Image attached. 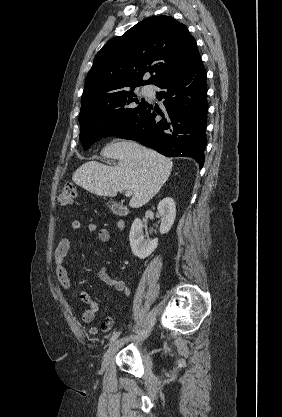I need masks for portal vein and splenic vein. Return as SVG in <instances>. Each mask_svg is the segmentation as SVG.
<instances>
[{"label": "portal vein and splenic vein", "instance_id": "portal-vein-and-splenic-vein-1", "mask_svg": "<svg viewBox=\"0 0 282 417\" xmlns=\"http://www.w3.org/2000/svg\"><path fill=\"white\" fill-rule=\"evenodd\" d=\"M126 196H131L133 194L132 190H126L125 192Z\"/></svg>", "mask_w": 282, "mask_h": 417}]
</instances>
